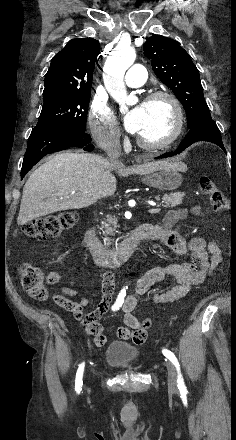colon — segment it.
Masks as SVG:
<instances>
[{
	"mask_svg": "<svg viewBox=\"0 0 236 440\" xmlns=\"http://www.w3.org/2000/svg\"><path fill=\"white\" fill-rule=\"evenodd\" d=\"M199 187L201 192L209 199L214 211L221 212L226 210L228 214L233 212V209L227 206L225 195L210 177L201 176L199 178ZM77 218V213L74 211L49 214L25 224L22 227V233L35 240L45 239L71 228L76 223ZM19 276L22 287L31 297L39 301L46 299L47 292L44 284V275L38 267L31 264H24L19 270ZM151 323V320L147 318L143 320L141 324L142 330H145L146 334L151 327ZM145 339L132 340L144 341Z\"/></svg>",
	"mask_w": 236,
	"mask_h": 440,
	"instance_id": "1",
	"label": "colon"
}]
</instances>
